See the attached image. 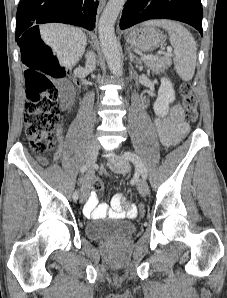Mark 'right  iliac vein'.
Returning a JSON list of instances; mask_svg holds the SVG:
<instances>
[{
  "instance_id": "right-iliac-vein-1",
  "label": "right iliac vein",
  "mask_w": 227,
  "mask_h": 298,
  "mask_svg": "<svg viewBox=\"0 0 227 298\" xmlns=\"http://www.w3.org/2000/svg\"><path fill=\"white\" fill-rule=\"evenodd\" d=\"M100 146L97 142H92L86 152V163L88 165V173L90 176V173L92 171L93 164L95 163V160L97 158L98 152H99ZM90 189V180L89 177L86 181L85 190L83 193H81L80 202H84L87 198L88 192Z\"/></svg>"
}]
</instances>
